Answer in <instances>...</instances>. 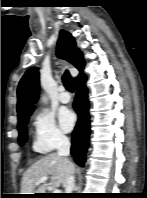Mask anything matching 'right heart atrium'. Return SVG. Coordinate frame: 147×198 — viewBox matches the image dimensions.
I'll use <instances>...</instances> for the list:
<instances>
[{"label": "right heart atrium", "instance_id": "obj_1", "mask_svg": "<svg viewBox=\"0 0 147 198\" xmlns=\"http://www.w3.org/2000/svg\"><path fill=\"white\" fill-rule=\"evenodd\" d=\"M34 150L49 153L67 141L66 135L57 125L53 114L46 110L36 111L32 116Z\"/></svg>", "mask_w": 147, "mask_h": 198}]
</instances>
